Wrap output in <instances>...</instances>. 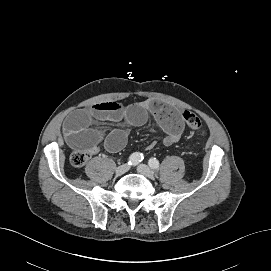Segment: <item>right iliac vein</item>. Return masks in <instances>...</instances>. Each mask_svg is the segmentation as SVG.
I'll use <instances>...</instances> for the list:
<instances>
[{
    "label": "right iliac vein",
    "mask_w": 271,
    "mask_h": 271,
    "mask_svg": "<svg viewBox=\"0 0 271 271\" xmlns=\"http://www.w3.org/2000/svg\"><path fill=\"white\" fill-rule=\"evenodd\" d=\"M130 169L128 164H123L121 166H119L116 171L115 174L116 176H122L123 174H125L128 170Z\"/></svg>",
    "instance_id": "1"
}]
</instances>
